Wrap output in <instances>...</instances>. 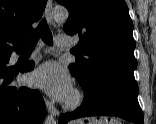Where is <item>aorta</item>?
Wrapping results in <instances>:
<instances>
[{"instance_id":"aorta-1","label":"aorta","mask_w":156,"mask_h":124,"mask_svg":"<svg viewBox=\"0 0 156 124\" xmlns=\"http://www.w3.org/2000/svg\"><path fill=\"white\" fill-rule=\"evenodd\" d=\"M68 15V10L64 7L55 8L52 12V17L56 22H65ZM44 124H56V119L52 115H48L45 118Z\"/></svg>"}]
</instances>
